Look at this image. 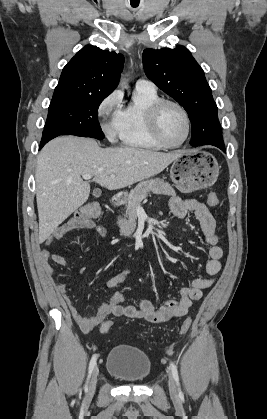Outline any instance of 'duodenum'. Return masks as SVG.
Segmentation results:
<instances>
[{"label":"duodenum","instance_id":"410a0bca","mask_svg":"<svg viewBox=\"0 0 267 419\" xmlns=\"http://www.w3.org/2000/svg\"><path fill=\"white\" fill-rule=\"evenodd\" d=\"M123 202H124V197L121 194H117L113 196L111 199V203L115 207L120 206Z\"/></svg>","mask_w":267,"mask_h":419}]
</instances>
